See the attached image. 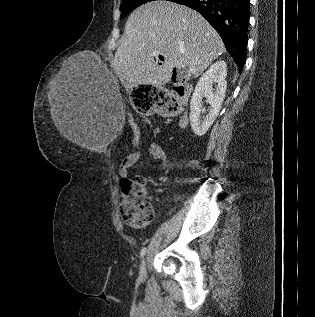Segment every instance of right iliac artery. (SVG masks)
<instances>
[{"label":"right iliac artery","instance_id":"82829eb1","mask_svg":"<svg viewBox=\"0 0 315 317\" xmlns=\"http://www.w3.org/2000/svg\"><path fill=\"white\" fill-rule=\"evenodd\" d=\"M145 254H146V248H143L140 253L141 258H143Z\"/></svg>","mask_w":315,"mask_h":317}]
</instances>
